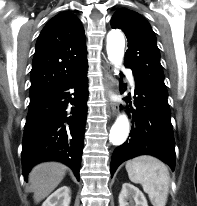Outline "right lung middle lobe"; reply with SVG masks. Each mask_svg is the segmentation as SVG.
I'll list each match as a JSON object with an SVG mask.
<instances>
[{
    "label": "right lung middle lobe",
    "instance_id": "right-lung-middle-lobe-1",
    "mask_svg": "<svg viewBox=\"0 0 197 206\" xmlns=\"http://www.w3.org/2000/svg\"><path fill=\"white\" fill-rule=\"evenodd\" d=\"M47 92H30V102L35 101L42 97Z\"/></svg>",
    "mask_w": 197,
    "mask_h": 206
}]
</instances>
